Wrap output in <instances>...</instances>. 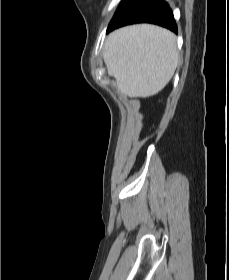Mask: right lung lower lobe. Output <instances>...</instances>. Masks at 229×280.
<instances>
[{
	"label": "right lung lower lobe",
	"mask_w": 229,
	"mask_h": 280,
	"mask_svg": "<svg viewBox=\"0 0 229 280\" xmlns=\"http://www.w3.org/2000/svg\"><path fill=\"white\" fill-rule=\"evenodd\" d=\"M153 23L177 33L173 13L164 0H123L111 20L107 33L128 24Z\"/></svg>",
	"instance_id": "1"
}]
</instances>
